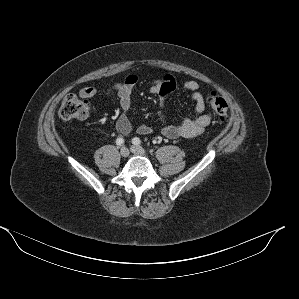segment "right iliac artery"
I'll return each instance as SVG.
<instances>
[{"label":"right iliac artery","mask_w":299,"mask_h":299,"mask_svg":"<svg viewBox=\"0 0 299 299\" xmlns=\"http://www.w3.org/2000/svg\"><path fill=\"white\" fill-rule=\"evenodd\" d=\"M116 144L119 145V146L123 145V144H124V139L121 138V137H118V138L116 139Z\"/></svg>","instance_id":"obj_1"}]
</instances>
